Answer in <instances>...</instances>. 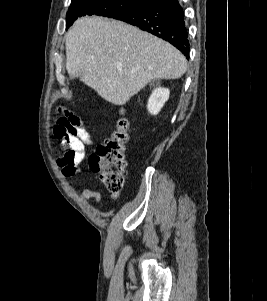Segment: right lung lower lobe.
I'll use <instances>...</instances> for the list:
<instances>
[{"mask_svg": "<svg viewBox=\"0 0 267 301\" xmlns=\"http://www.w3.org/2000/svg\"><path fill=\"white\" fill-rule=\"evenodd\" d=\"M113 18L168 41L189 58L188 31L178 0H155Z\"/></svg>", "mask_w": 267, "mask_h": 301, "instance_id": "right-lung-lower-lobe-1", "label": "right lung lower lobe"}]
</instances>
